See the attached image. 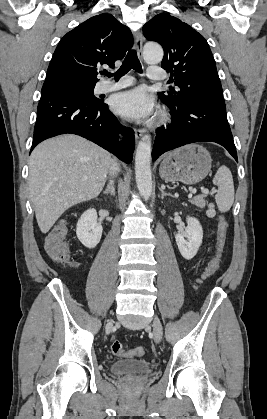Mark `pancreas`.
Returning a JSON list of instances; mask_svg holds the SVG:
<instances>
[{
	"mask_svg": "<svg viewBox=\"0 0 267 419\" xmlns=\"http://www.w3.org/2000/svg\"><path fill=\"white\" fill-rule=\"evenodd\" d=\"M190 202L199 208H205L207 204L203 195L195 196Z\"/></svg>",
	"mask_w": 267,
	"mask_h": 419,
	"instance_id": "1",
	"label": "pancreas"
}]
</instances>
